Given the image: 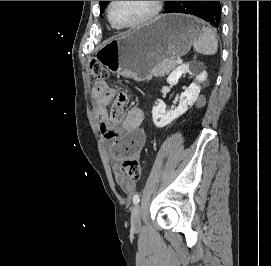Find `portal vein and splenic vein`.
<instances>
[{"mask_svg": "<svg viewBox=\"0 0 271 266\" xmlns=\"http://www.w3.org/2000/svg\"><path fill=\"white\" fill-rule=\"evenodd\" d=\"M182 62H183L182 59L177 60V64H181Z\"/></svg>", "mask_w": 271, "mask_h": 266, "instance_id": "obj_1", "label": "portal vein and splenic vein"}]
</instances>
